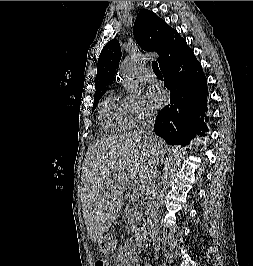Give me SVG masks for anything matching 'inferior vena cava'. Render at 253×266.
Segmentation results:
<instances>
[{"instance_id":"inferior-vena-cava-1","label":"inferior vena cava","mask_w":253,"mask_h":266,"mask_svg":"<svg viewBox=\"0 0 253 266\" xmlns=\"http://www.w3.org/2000/svg\"><path fill=\"white\" fill-rule=\"evenodd\" d=\"M155 122V115L154 114H145L142 119V126L139 130V134L143 135V137L148 141H153V126ZM152 171L147 174V176L144 179L145 183V191L142 193V199L143 202L146 201V212L145 215L147 216L146 224L147 227H149V235L152 239L156 238L157 236V229H156V209H155V202H154V196H155V181L153 180Z\"/></svg>"}]
</instances>
